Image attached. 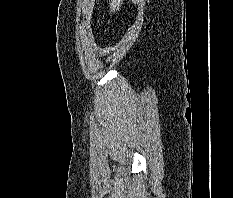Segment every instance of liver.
<instances>
[{
	"mask_svg": "<svg viewBox=\"0 0 233 198\" xmlns=\"http://www.w3.org/2000/svg\"><path fill=\"white\" fill-rule=\"evenodd\" d=\"M123 4V0H112L110 5V14L115 13L116 11H119L121 5Z\"/></svg>",
	"mask_w": 233,
	"mask_h": 198,
	"instance_id": "6515ba94",
	"label": "liver"
}]
</instances>
